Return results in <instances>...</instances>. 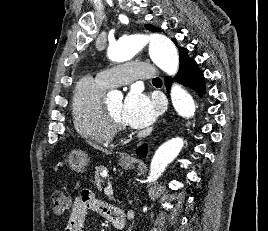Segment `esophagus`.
Instances as JSON below:
<instances>
[{
    "instance_id": "1",
    "label": "esophagus",
    "mask_w": 268,
    "mask_h": 231,
    "mask_svg": "<svg viewBox=\"0 0 268 231\" xmlns=\"http://www.w3.org/2000/svg\"><path fill=\"white\" fill-rule=\"evenodd\" d=\"M122 159L126 160V161H133L134 160L133 157L131 155H129V154L123 155Z\"/></svg>"
}]
</instances>
